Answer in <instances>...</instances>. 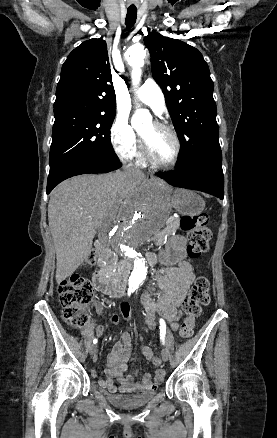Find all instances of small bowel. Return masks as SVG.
Listing matches in <instances>:
<instances>
[{
	"mask_svg": "<svg viewBox=\"0 0 277 438\" xmlns=\"http://www.w3.org/2000/svg\"><path fill=\"white\" fill-rule=\"evenodd\" d=\"M154 260V258L152 257ZM195 280L192 265L185 260L181 255L177 264L173 267L163 268L155 277L150 288L142 296V304L145 311L151 317L147 321V327L153 330L156 326L153 317L155 315L162 316L169 324L172 330H177L178 321L180 320L179 307L181 306L191 284ZM160 290V295L157 299L154 294ZM96 309L101 312L103 306L100 303L96 304ZM128 319V311L123 312ZM102 325L96 328L97 334L101 335L104 332ZM144 356L151 360L153 354L151 349L142 345ZM131 357V336L128 332H123L110 351L108 356V368L105 370V379H101L99 384L108 389L109 392L115 393L118 390L122 391H152L158 387L164 378V370L160 368L155 372L154 378L149 373L141 374L138 370L135 375L125 374L128 368V361ZM134 377L139 378L135 380ZM116 380L119 385L114 384Z\"/></svg>",
	"mask_w": 277,
	"mask_h": 438,
	"instance_id": "obj_1",
	"label": "small bowel"
}]
</instances>
